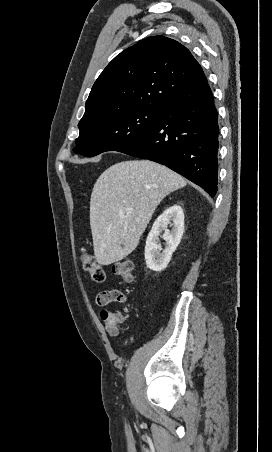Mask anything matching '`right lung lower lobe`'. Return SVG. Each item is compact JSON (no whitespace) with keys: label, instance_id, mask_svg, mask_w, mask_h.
I'll return each instance as SVG.
<instances>
[{"label":"right lung lower lobe","instance_id":"right-lung-lower-lobe-1","mask_svg":"<svg viewBox=\"0 0 272 452\" xmlns=\"http://www.w3.org/2000/svg\"><path fill=\"white\" fill-rule=\"evenodd\" d=\"M218 134V114L206 83L163 109L142 136L117 151L165 165L214 197Z\"/></svg>","mask_w":272,"mask_h":452}]
</instances>
